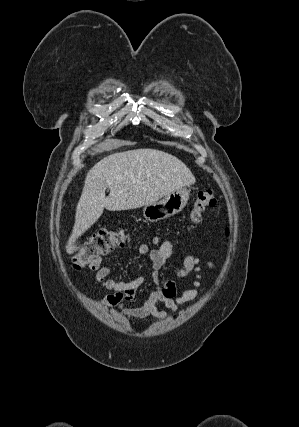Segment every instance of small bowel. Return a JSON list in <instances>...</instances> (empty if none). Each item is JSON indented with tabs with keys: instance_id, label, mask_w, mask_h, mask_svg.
Returning a JSON list of instances; mask_svg holds the SVG:
<instances>
[{
	"instance_id": "1",
	"label": "small bowel",
	"mask_w": 299,
	"mask_h": 427,
	"mask_svg": "<svg viewBox=\"0 0 299 427\" xmlns=\"http://www.w3.org/2000/svg\"><path fill=\"white\" fill-rule=\"evenodd\" d=\"M137 251L140 255L148 256L151 261V276L155 284V289L148 294L141 306L125 307L124 302H132L135 300L138 289L145 282L144 276H138L130 281L110 279V268L101 265L100 261H98L91 265L90 268L96 273L97 281L106 289L113 292L99 299V303L102 306L116 308L120 310L124 316L132 319L155 317L162 320L168 317V313L158 309V303H163L167 309L175 312L181 305L194 301L198 297L201 288L202 267L200 259L197 256H186L184 260L175 267V274L178 278H186L191 273L195 274V280L192 286L184 290L180 295H177L175 282L173 280H162L160 277V271L172 253L170 242L164 241L157 248H150L147 244L140 243L137 246ZM208 266L212 267V263H208Z\"/></svg>"
}]
</instances>
